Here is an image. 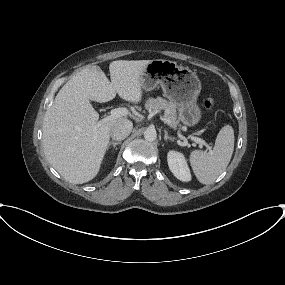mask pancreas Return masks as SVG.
Instances as JSON below:
<instances>
[{"instance_id": "1", "label": "pancreas", "mask_w": 285, "mask_h": 285, "mask_svg": "<svg viewBox=\"0 0 285 285\" xmlns=\"http://www.w3.org/2000/svg\"><path fill=\"white\" fill-rule=\"evenodd\" d=\"M145 107L149 111L164 110V117L168 121L169 125L174 129H177L180 126L176 113L177 106L175 103L167 101L161 97L149 98L145 103Z\"/></svg>"}]
</instances>
